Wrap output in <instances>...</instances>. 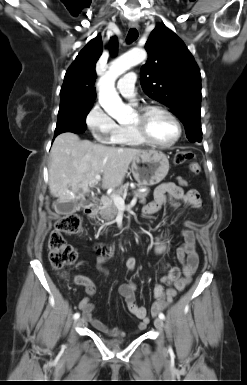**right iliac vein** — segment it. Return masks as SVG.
I'll use <instances>...</instances> for the list:
<instances>
[{
  "mask_svg": "<svg viewBox=\"0 0 247 385\" xmlns=\"http://www.w3.org/2000/svg\"><path fill=\"white\" fill-rule=\"evenodd\" d=\"M83 323H84V318H79V319H77V320L75 321V324H76L77 326H81Z\"/></svg>",
  "mask_w": 247,
  "mask_h": 385,
  "instance_id": "63e3f726",
  "label": "right iliac vein"
}]
</instances>
